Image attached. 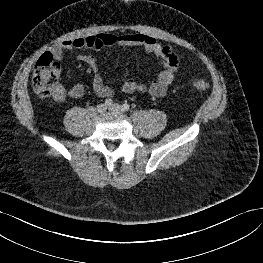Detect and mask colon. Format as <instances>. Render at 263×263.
Instances as JSON below:
<instances>
[{
	"label": "colon",
	"instance_id": "5ec220e1",
	"mask_svg": "<svg viewBox=\"0 0 263 263\" xmlns=\"http://www.w3.org/2000/svg\"><path fill=\"white\" fill-rule=\"evenodd\" d=\"M60 66L50 53L43 54L33 70L32 88L43 97L52 96L59 86ZM194 91L202 93L208 90L209 83L203 78H196L192 83Z\"/></svg>",
	"mask_w": 263,
	"mask_h": 263
}]
</instances>
